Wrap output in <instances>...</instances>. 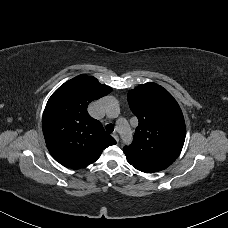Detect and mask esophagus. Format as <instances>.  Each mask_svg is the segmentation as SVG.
<instances>
[{
  "label": "esophagus",
  "instance_id": "34e87169",
  "mask_svg": "<svg viewBox=\"0 0 228 228\" xmlns=\"http://www.w3.org/2000/svg\"><path fill=\"white\" fill-rule=\"evenodd\" d=\"M112 136L115 138V140H116L117 142L119 141V137H118V135H117L116 133H114Z\"/></svg>",
  "mask_w": 228,
  "mask_h": 228
}]
</instances>
